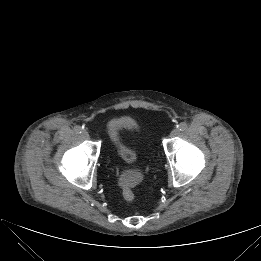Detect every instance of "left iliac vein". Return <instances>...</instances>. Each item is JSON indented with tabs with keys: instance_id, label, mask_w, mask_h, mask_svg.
Segmentation results:
<instances>
[{
	"instance_id": "1",
	"label": "left iliac vein",
	"mask_w": 261,
	"mask_h": 261,
	"mask_svg": "<svg viewBox=\"0 0 261 261\" xmlns=\"http://www.w3.org/2000/svg\"><path fill=\"white\" fill-rule=\"evenodd\" d=\"M179 129H177V128H175V129H173L172 131H171V133H170V136L171 137H176V136H178L179 135Z\"/></svg>"
}]
</instances>
